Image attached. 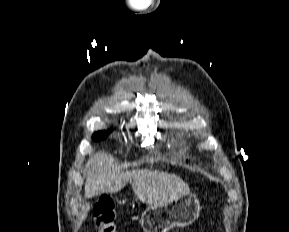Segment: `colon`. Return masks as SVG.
Instances as JSON below:
<instances>
[{
  "label": "colon",
  "instance_id": "obj_1",
  "mask_svg": "<svg viewBox=\"0 0 289 232\" xmlns=\"http://www.w3.org/2000/svg\"><path fill=\"white\" fill-rule=\"evenodd\" d=\"M93 213L97 232H118L115 206L109 196L102 195L99 197Z\"/></svg>",
  "mask_w": 289,
  "mask_h": 232
}]
</instances>
